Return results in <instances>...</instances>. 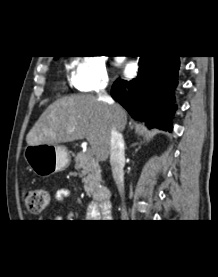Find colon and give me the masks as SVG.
<instances>
[{"instance_id": "1", "label": "colon", "mask_w": 218, "mask_h": 277, "mask_svg": "<svg viewBox=\"0 0 218 277\" xmlns=\"http://www.w3.org/2000/svg\"><path fill=\"white\" fill-rule=\"evenodd\" d=\"M50 201V194L46 188L32 187L23 194V203L27 210L32 214L43 212Z\"/></svg>"}]
</instances>
